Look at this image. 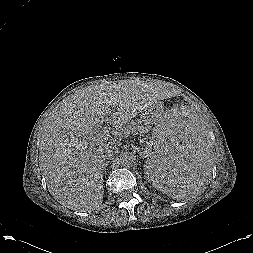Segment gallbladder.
<instances>
[{
    "label": "gallbladder",
    "mask_w": 253,
    "mask_h": 253,
    "mask_svg": "<svg viewBox=\"0 0 253 253\" xmlns=\"http://www.w3.org/2000/svg\"><path fill=\"white\" fill-rule=\"evenodd\" d=\"M99 127H95L94 129H98Z\"/></svg>",
    "instance_id": "1"
}]
</instances>
